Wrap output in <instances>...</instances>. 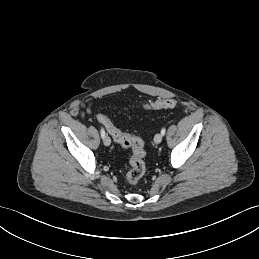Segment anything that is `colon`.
Returning a JSON list of instances; mask_svg holds the SVG:
<instances>
[{"label": "colon", "mask_w": 259, "mask_h": 259, "mask_svg": "<svg viewBox=\"0 0 259 259\" xmlns=\"http://www.w3.org/2000/svg\"><path fill=\"white\" fill-rule=\"evenodd\" d=\"M176 105L177 101L174 99H159L147 103L143 107L146 110H157L162 108H174ZM100 122L117 143L123 147L131 149L132 155L130 158V169L126 174V179L131 185L138 184L146 170L143 141L138 137L131 136L116 128L104 115L100 116Z\"/></svg>", "instance_id": "5ec220e1"}]
</instances>
